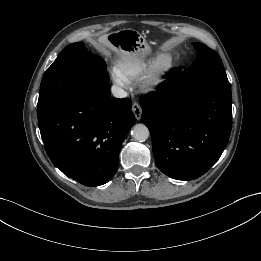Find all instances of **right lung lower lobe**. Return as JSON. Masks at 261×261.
Segmentation results:
<instances>
[{"instance_id":"obj_1","label":"right lung lower lobe","mask_w":261,"mask_h":261,"mask_svg":"<svg viewBox=\"0 0 261 261\" xmlns=\"http://www.w3.org/2000/svg\"><path fill=\"white\" fill-rule=\"evenodd\" d=\"M129 99L111 98L110 86L78 87L38 113L45 150L65 175L86 186L108 182L135 123Z\"/></svg>"}]
</instances>
